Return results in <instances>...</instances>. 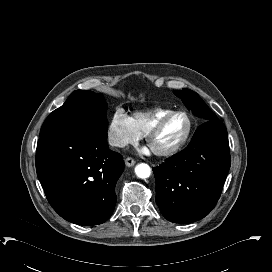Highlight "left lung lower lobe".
Returning a JSON list of instances; mask_svg holds the SVG:
<instances>
[{
	"label": "left lung lower lobe",
	"mask_w": 272,
	"mask_h": 272,
	"mask_svg": "<svg viewBox=\"0 0 272 272\" xmlns=\"http://www.w3.org/2000/svg\"><path fill=\"white\" fill-rule=\"evenodd\" d=\"M230 168L227 131L219 120H208L182 152L154 167L156 202L175 223L202 219L216 205Z\"/></svg>",
	"instance_id": "left-lung-lower-lobe-1"
}]
</instances>
